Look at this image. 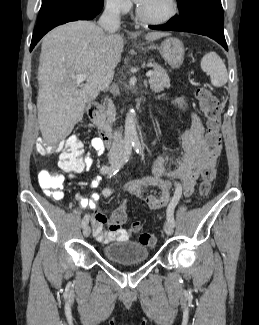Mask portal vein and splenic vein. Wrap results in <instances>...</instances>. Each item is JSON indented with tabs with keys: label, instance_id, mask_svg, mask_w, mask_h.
I'll return each instance as SVG.
<instances>
[{
	"label": "portal vein and splenic vein",
	"instance_id": "portal-vein-and-splenic-vein-1",
	"mask_svg": "<svg viewBox=\"0 0 259 325\" xmlns=\"http://www.w3.org/2000/svg\"><path fill=\"white\" fill-rule=\"evenodd\" d=\"M153 71L152 70H150V71H148L147 73H146V76L147 77H151L152 75H153ZM70 78L75 82V83H81V82H83V81H85L88 77H87V75L86 74H80V75H72V76H70Z\"/></svg>",
	"mask_w": 259,
	"mask_h": 325
}]
</instances>
